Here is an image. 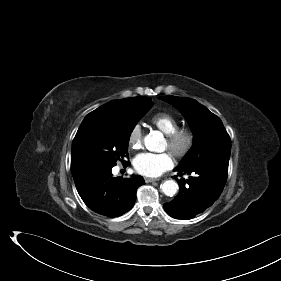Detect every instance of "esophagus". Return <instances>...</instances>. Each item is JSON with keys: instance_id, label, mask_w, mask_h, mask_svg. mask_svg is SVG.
I'll return each instance as SVG.
<instances>
[{"instance_id": "esophagus-1", "label": "esophagus", "mask_w": 281, "mask_h": 281, "mask_svg": "<svg viewBox=\"0 0 281 281\" xmlns=\"http://www.w3.org/2000/svg\"><path fill=\"white\" fill-rule=\"evenodd\" d=\"M145 181H146L147 183H149V182L159 181V179H156V178H145Z\"/></svg>"}]
</instances>
